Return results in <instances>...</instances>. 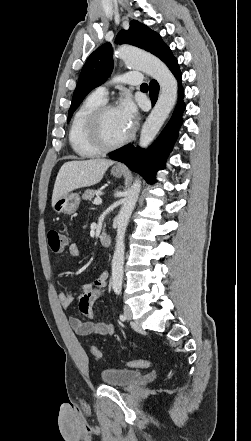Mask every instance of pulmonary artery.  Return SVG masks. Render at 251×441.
I'll return each instance as SVG.
<instances>
[{"instance_id": "1", "label": "pulmonary artery", "mask_w": 251, "mask_h": 441, "mask_svg": "<svg viewBox=\"0 0 251 441\" xmlns=\"http://www.w3.org/2000/svg\"><path fill=\"white\" fill-rule=\"evenodd\" d=\"M115 81L130 85H140L142 83V76L139 72L130 71L119 75L118 77H116ZM94 93H96L103 99H106L107 88L106 86H99L96 88Z\"/></svg>"}]
</instances>
